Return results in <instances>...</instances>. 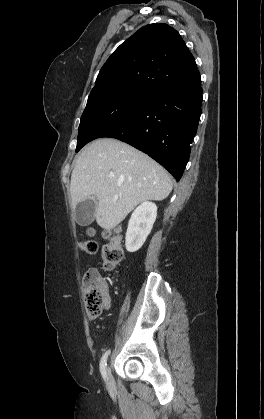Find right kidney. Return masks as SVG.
<instances>
[{"mask_svg": "<svg viewBox=\"0 0 264 419\" xmlns=\"http://www.w3.org/2000/svg\"><path fill=\"white\" fill-rule=\"evenodd\" d=\"M157 216L155 203L145 201L132 213L126 232L125 246L128 252H136L150 234Z\"/></svg>", "mask_w": 264, "mask_h": 419, "instance_id": "ca27d5eb", "label": "right kidney"}]
</instances>
